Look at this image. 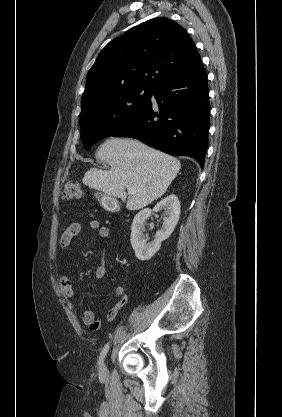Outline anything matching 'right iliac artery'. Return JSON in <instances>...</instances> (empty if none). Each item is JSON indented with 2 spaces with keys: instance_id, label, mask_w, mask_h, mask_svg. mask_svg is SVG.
<instances>
[{
  "instance_id": "obj_1",
  "label": "right iliac artery",
  "mask_w": 282,
  "mask_h": 417,
  "mask_svg": "<svg viewBox=\"0 0 282 417\" xmlns=\"http://www.w3.org/2000/svg\"><path fill=\"white\" fill-rule=\"evenodd\" d=\"M109 350V344H106L100 353L98 364L101 365Z\"/></svg>"
}]
</instances>
